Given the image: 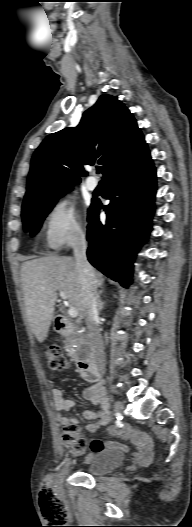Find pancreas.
Listing matches in <instances>:
<instances>
[{
    "mask_svg": "<svg viewBox=\"0 0 192 527\" xmlns=\"http://www.w3.org/2000/svg\"><path fill=\"white\" fill-rule=\"evenodd\" d=\"M74 341H75V342H79V341H80L79 338H78V336L75 337Z\"/></svg>",
    "mask_w": 192,
    "mask_h": 527,
    "instance_id": "1",
    "label": "pancreas"
}]
</instances>
